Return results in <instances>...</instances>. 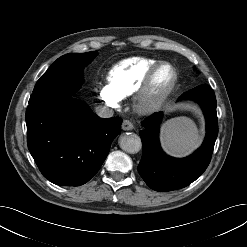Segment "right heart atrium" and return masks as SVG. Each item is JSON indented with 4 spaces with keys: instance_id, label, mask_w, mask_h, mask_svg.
<instances>
[{
    "instance_id": "1",
    "label": "right heart atrium",
    "mask_w": 247,
    "mask_h": 247,
    "mask_svg": "<svg viewBox=\"0 0 247 247\" xmlns=\"http://www.w3.org/2000/svg\"><path fill=\"white\" fill-rule=\"evenodd\" d=\"M99 96L105 104L112 108H118L121 98L113 91L110 84H104L99 88Z\"/></svg>"
}]
</instances>
